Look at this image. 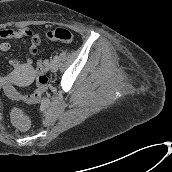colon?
<instances>
[{
    "label": "colon",
    "mask_w": 172,
    "mask_h": 172,
    "mask_svg": "<svg viewBox=\"0 0 172 172\" xmlns=\"http://www.w3.org/2000/svg\"><path fill=\"white\" fill-rule=\"evenodd\" d=\"M46 37L52 40H59L65 43H70L74 40L73 34L62 27H57L52 31L46 33ZM44 64L42 61L37 63V78H36V88L35 91L28 95L21 94L17 89H15L11 82L7 81L4 84V89L6 95L13 100H21L27 103H36L40 100L42 94L46 90L48 78L44 72ZM11 117L13 122L20 130H27L30 126L29 118L27 117L25 111L22 108H14L11 112Z\"/></svg>",
    "instance_id": "colon-1"
}]
</instances>
